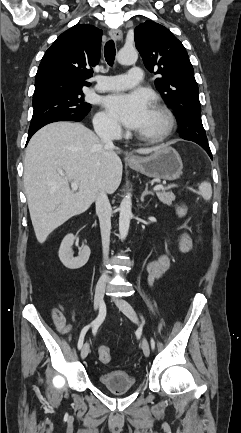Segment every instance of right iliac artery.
I'll return each mask as SVG.
<instances>
[{"instance_id": "obj_1", "label": "right iliac artery", "mask_w": 241, "mask_h": 433, "mask_svg": "<svg viewBox=\"0 0 241 433\" xmlns=\"http://www.w3.org/2000/svg\"><path fill=\"white\" fill-rule=\"evenodd\" d=\"M105 316H106V308H105V305H104V303H102L101 304V306H100V310H99V314H98V317L91 323V324H89V325H87V326H85L83 329H82V331H81V333H80V337H79V340H78V349H81L82 348V346H83V341H84V336H85V334H86V332L88 331V329L92 326V327H98L102 322H103V320L105 319Z\"/></svg>"}]
</instances>
